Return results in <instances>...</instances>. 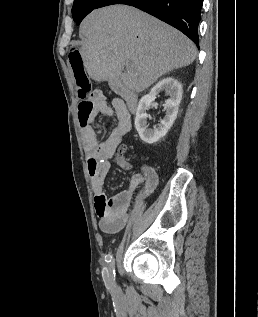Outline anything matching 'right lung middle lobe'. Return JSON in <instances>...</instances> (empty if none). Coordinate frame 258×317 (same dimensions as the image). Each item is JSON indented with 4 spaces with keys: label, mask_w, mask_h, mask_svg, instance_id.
Wrapping results in <instances>:
<instances>
[{
    "label": "right lung middle lobe",
    "mask_w": 258,
    "mask_h": 317,
    "mask_svg": "<svg viewBox=\"0 0 258 317\" xmlns=\"http://www.w3.org/2000/svg\"><path fill=\"white\" fill-rule=\"evenodd\" d=\"M87 2V0H74V4L72 7V16L74 21L76 20L80 10L84 6V4Z\"/></svg>",
    "instance_id": "1"
}]
</instances>
